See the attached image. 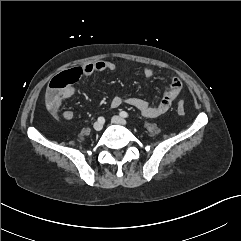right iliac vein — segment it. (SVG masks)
<instances>
[{"instance_id":"right-iliac-vein-1","label":"right iliac vein","mask_w":241,"mask_h":241,"mask_svg":"<svg viewBox=\"0 0 241 241\" xmlns=\"http://www.w3.org/2000/svg\"><path fill=\"white\" fill-rule=\"evenodd\" d=\"M93 128H94V130H96V131H101L102 130V128H103V123H101V122H95L94 123V125H93Z\"/></svg>"}]
</instances>
